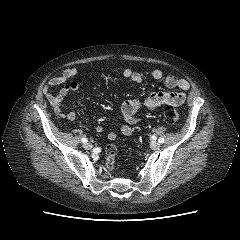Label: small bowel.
<instances>
[{"label": "small bowel", "instance_id": "1", "mask_svg": "<svg viewBox=\"0 0 240 240\" xmlns=\"http://www.w3.org/2000/svg\"><path fill=\"white\" fill-rule=\"evenodd\" d=\"M83 73L82 69L67 68L59 76L51 78L45 86V93L47 99L53 109V112L57 116H61V105L64 99L71 93L77 91L80 87V83L76 80V77ZM124 79L130 80L135 83H140L143 80L142 75L139 72L126 68L122 71ZM151 76L155 80H161L164 78L166 87L173 89L177 88L175 92H153L144 99H129L124 101L120 106V114L125 121V124L121 126L120 132L122 135L129 137L133 133L132 126L139 123L141 120V113L144 110L155 111L163 105L180 106L184 103L186 93L190 89V83L185 79H179L173 75L164 77L163 72L159 69L152 71ZM61 86L57 94H52L50 89L52 87ZM70 121L77 118L75 112H68L64 115ZM97 132H102V125L96 126ZM118 134L116 132H110L108 138L115 140Z\"/></svg>", "mask_w": 240, "mask_h": 240}]
</instances>
